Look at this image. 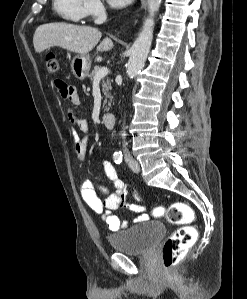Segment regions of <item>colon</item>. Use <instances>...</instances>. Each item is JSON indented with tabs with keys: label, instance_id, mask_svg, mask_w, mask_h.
<instances>
[{
	"label": "colon",
	"instance_id": "colon-1",
	"mask_svg": "<svg viewBox=\"0 0 247 299\" xmlns=\"http://www.w3.org/2000/svg\"><path fill=\"white\" fill-rule=\"evenodd\" d=\"M47 71L51 74L59 69V63L54 53L45 57ZM139 196L140 194L136 192ZM156 217H165L172 224L179 226L164 242L162 247V261L165 269H170L179 263L186 255L188 249L195 242L197 231L190 223L193 221L192 209L183 202H175L168 207L158 206L152 210Z\"/></svg>",
	"mask_w": 247,
	"mask_h": 299
}]
</instances>
